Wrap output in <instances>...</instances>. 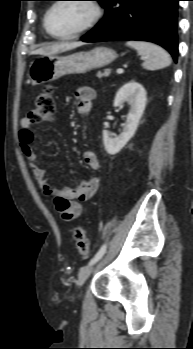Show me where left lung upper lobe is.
Returning a JSON list of instances; mask_svg holds the SVG:
<instances>
[{"label":"left lung upper lobe","mask_w":193,"mask_h":349,"mask_svg":"<svg viewBox=\"0 0 193 349\" xmlns=\"http://www.w3.org/2000/svg\"><path fill=\"white\" fill-rule=\"evenodd\" d=\"M40 1H46V0H40ZM96 1H99L105 7L108 0H96Z\"/></svg>","instance_id":"obj_1"}]
</instances>
